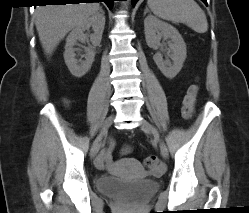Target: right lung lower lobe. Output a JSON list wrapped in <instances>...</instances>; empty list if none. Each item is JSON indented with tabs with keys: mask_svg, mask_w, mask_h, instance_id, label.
<instances>
[{
	"mask_svg": "<svg viewBox=\"0 0 249 213\" xmlns=\"http://www.w3.org/2000/svg\"><path fill=\"white\" fill-rule=\"evenodd\" d=\"M82 1H96V2H100V1H103L107 4V6L112 9L113 7V3L115 0H45V2H49V3H54V4H66V3H79V2H82ZM44 2V3H45Z\"/></svg>",
	"mask_w": 249,
	"mask_h": 213,
	"instance_id": "98d812e1",
	"label": "right lung lower lobe"
}]
</instances>
